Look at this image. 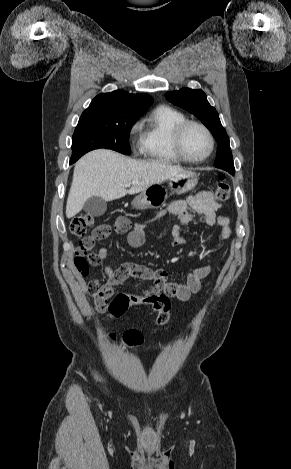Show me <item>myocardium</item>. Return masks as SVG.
I'll list each match as a JSON object with an SVG mask.
<instances>
[{"label":"myocardium","instance_id":"1","mask_svg":"<svg viewBox=\"0 0 291 469\" xmlns=\"http://www.w3.org/2000/svg\"><path fill=\"white\" fill-rule=\"evenodd\" d=\"M190 126H197L201 128L209 139V143H210L209 151L207 152L206 155H204L201 158H191L186 154L184 150V135H185L186 130ZM173 148H174L176 155L179 157L180 160L184 162L192 163V164H199V163L206 161L212 155L214 148H215V139H214L212 132L205 124L196 120L186 119L182 121L181 123H179L173 131Z\"/></svg>","mask_w":291,"mask_h":469}]
</instances>
